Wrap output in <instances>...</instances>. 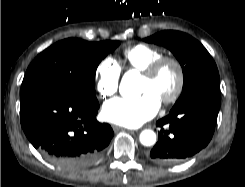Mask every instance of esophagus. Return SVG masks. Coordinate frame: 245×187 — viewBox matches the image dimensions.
<instances>
[{"label":"esophagus","instance_id":"1","mask_svg":"<svg viewBox=\"0 0 245 187\" xmlns=\"http://www.w3.org/2000/svg\"><path fill=\"white\" fill-rule=\"evenodd\" d=\"M113 129L114 131L125 130V128L117 126V125H113Z\"/></svg>","mask_w":245,"mask_h":187}]
</instances>
